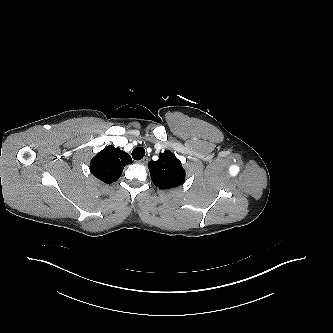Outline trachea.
<instances>
[{
	"label": "trachea",
	"instance_id": "3493384b",
	"mask_svg": "<svg viewBox=\"0 0 333 333\" xmlns=\"http://www.w3.org/2000/svg\"><path fill=\"white\" fill-rule=\"evenodd\" d=\"M145 155V149L142 147H136L132 151V157L134 160H141Z\"/></svg>",
	"mask_w": 333,
	"mask_h": 333
}]
</instances>
